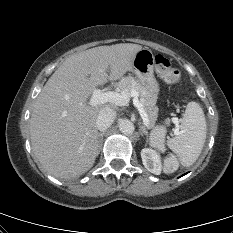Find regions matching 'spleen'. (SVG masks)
I'll use <instances>...</instances> for the list:
<instances>
[{
	"label": "spleen",
	"mask_w": 233,
	"mask_h": 233,
	"mask_svg": "<svg viewBox=\"0 0 233 233\" xmlns=\"http://www.w3.org/2000/svg\"><path fill=\"white\" fill-rule=\"evenodd\" d=\"M179 130L177 136L167 140V146L176 154L181 165L189 167L196 162L201 154L207 133L205 115L198 103L192 101L187 104ZM150 144L157 146L152 134ZM173 164L174 159L165 161L168 173L176 169H171Z\"/></svg>",
	"instance_id": "3e777b00"
}]
</instances>
